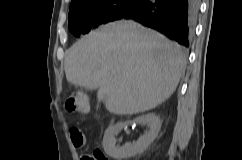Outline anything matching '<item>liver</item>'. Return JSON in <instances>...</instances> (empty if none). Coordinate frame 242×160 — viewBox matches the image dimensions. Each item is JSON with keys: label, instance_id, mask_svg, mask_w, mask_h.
I'll return each instance as SVG.
<instances>
[{"label": "liver", "instance_id": "1", "mask_svg": "<svg viewBox=\"0 0 242 160\" xmlns=\"http://www.w3.org/2000/svg\"><path fill=\"white\" fill-rule=\"evenodd\" d=\"M184 49L130 21L108 23L77 41L64 61L74 86L98 89L97 99L117 115L154 109L176 90L185 71Z\"/></svg>", "mask_w": 242, "mask_h": 160}]
</instances>
